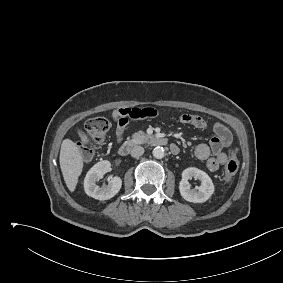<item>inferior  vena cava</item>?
<instances>
[{"mask_svg":"<svg viewBox=\"0 0 283 283\" xmlns=\"http://www.w3.org/2000/svg\"><path fill=\"white\" fill-rule=\"evenodd\" d=\"M143 153H144V148L141 146H134L131 149V156L134 158L140 157L141 155H143Z\"/></svg>","mask_w":283,"mask_h":283,"instance_id":"inferior-vena-cava-1","label":"inferior vena cava"}]
</instances>
